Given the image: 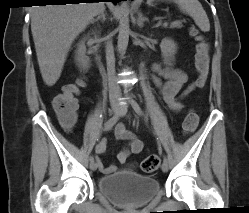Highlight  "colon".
I'll use <instances>...</instances> for the list:
<instances>
[{
    "label": "colon",
    "mask_w": 249,
    "mask_h": 213,
    "mask_svg": "<svg viewBox=\"0 0 249 213\" xmlns=\"http://www.w3.org/2000/svg\"><path fill=\"white\" fill-rule=\"evenodd\" d=\"M192 35L198 41L195 56L197 69L196 84L198 87H202L206 81L209 70V44L196 29L192 30ZM83 86L84 82L82 80L66 84L63 86L62 92L57 94L52 101L54 111L62 121L68 124H74L76 120V111L78 109L77 96ZM198 121V114L193 110L189 111L182 123L183 131L185 133L193 132L198 125ZM159 165V157L150 155L143 160L141 168L146 173H152L159 168Z\"/></svg>",
    "instance_id": "5ec220e1"
}]
</instances>
